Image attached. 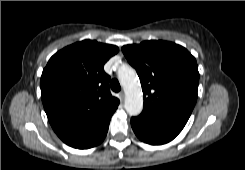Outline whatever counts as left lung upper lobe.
Here are the masks:
<instances>
[{
	"label": "left lung upper lobe",
	"instance_id": "obj_1",
	"mask_svg": "<svg viewBox=\"0 0 245 170\" xmlns=\"http://www.w3.org/2000/svg\"><path fill=\"white\" fill-rule=\"evenodd\" d=\"M122 51L140 78L143 111L186 124L197 100L196 59L184 47L167 41L126 45Z\"/></svg>",
	"mask_w": 245,
	"mask_h": 170
}]
</instances>
